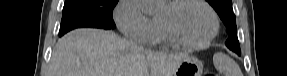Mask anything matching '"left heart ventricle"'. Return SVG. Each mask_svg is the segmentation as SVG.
I'll use <instances>...</instances> for the list:
<instances>
[{"label": "left heart ventricle", "instance_id": "1", "mask_svg": "<svg viewBox=\"0 0 287 76\" xmlns=\"http://www.w3.org/2000/svg\"><path fill=\"white\" fill-rule=\"evenodd\" d=\"M169 12L168 6L163 15ZM172 20L181 37L190 42L204 40L212 30L210 13L196 3H188L175 10L172 13Z\"/></svg>", "mask_w": 287, "mask_h": 76}]
</instances>
